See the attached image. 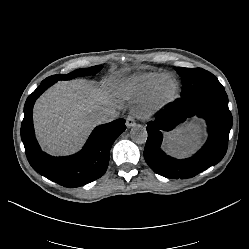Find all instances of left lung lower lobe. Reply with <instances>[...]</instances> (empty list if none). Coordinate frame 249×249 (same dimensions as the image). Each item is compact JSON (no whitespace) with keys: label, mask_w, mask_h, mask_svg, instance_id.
<instances>
[{"label":"left lung lower lobe","mask_w":249,"mask_h":249,"mask_svg":"<svg viewBox=\"0 0 249 249\" xmlns=\"http://www.w3.org/2000/svg\"><path fill=\"white\" fill-rule=\"evenodd\" d=\"M198 116L208 126V139L192 157L178 160L167 156L161 149L163 135L187 118ZM232 115L228 108V97L224 87L205 88L182 96L166 105L157 118L147 125L148 138L144 158L149 167L164 177L186 179L217 164L228 147Z\"/></svg>","instance_id":"1"}]
</instances>
